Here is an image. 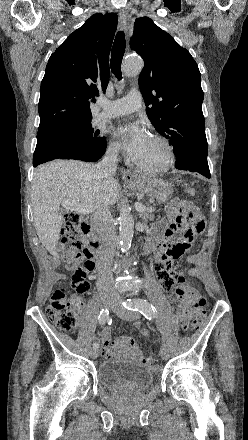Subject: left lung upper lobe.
<instances>
[{
    "label": "left lung upper lobe",
    "instance_id": "left-lung-upper-lobe-1",
    "mask_svg": "<svg viewBox=\"0 0 248 440\" xmlns=\"http://www.w3.org/2000/svg\"><path fill=\"white\" fill-rule=\"evenodd\" d=\"M130 46L145 62L139 87L155 129L176 157L207 155L201 74L189 51L148 17L136 19Z\"/></svg>",
    "mask_w": 248,
    "mask_h": 440
}]
</instances>
